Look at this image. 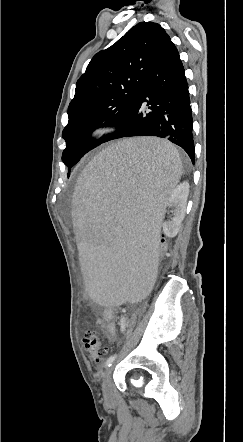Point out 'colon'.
<instances>
[{
    "mask_svg": "<svg viewBox=\"0 0 243 442\" xmlns=\"http://www.w3.org/2000/svg\"><path fill=\"white\" fill-rule=\"evenodd\" d=\"M159 241L160 251H158L157 256L158 258L163 259L166 257L168 234L165 232L160 233ZM83 343L85 350L93 361H101L108 353V348L103 345L99 333L95 329H89L86 331Z\"/></svg>",
    "mask_w": 243,
    "mask_h": 442,
    "instance_id": "5ec220e1",
    "label": "colon"
}]
</instances>
